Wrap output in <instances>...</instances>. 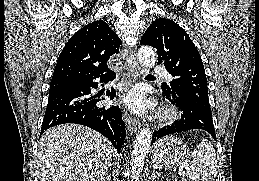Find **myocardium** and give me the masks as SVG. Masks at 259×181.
<instances>
[{
	"mask_svg": "<svg viewBox=\"0 0 259 181\" xmlns=\"http://www.w3.org/2000/svg\"><path fill=\"white\" fill-rule=\"evenodd\" d=\"M177 117V111L173 107H164L157 114L158 121L162 123H170Z\"/></svg>",
	"mask_w": 259,
	"mask_h": 181,
	"instance_id": "obj_1",
	"label": "myocardium"
}]
</instances>
